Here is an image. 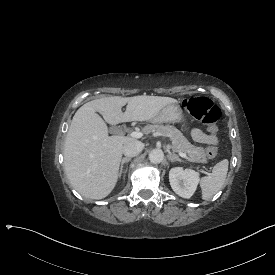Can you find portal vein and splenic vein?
Returning <instances> with one entry per match:
<instances>
[{"label":"portal vein and splenic vein","mask_w":275,"mask_h":275,"mask_svg":"<svg viewBox=\"0 0 275 275\" xmlns=\"http://www.w3.org/2000/svg\"><path fill=\"white\" fill-rule=\"evenodd\" d=\"M130 136L133 137V138L139 139V138H141V137L143 136V133H142V132L134 131V132H132V133L130 134ZM179 155H180L181 157H183V158H188L187 155H186L185 153H183V152H179Z\"/></svg>","instance_id":"1"}]
</instances>
